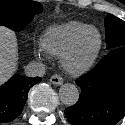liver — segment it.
Here are the masks:
<instances>
[{
	"mask_svg": "<svg viewBox=\"0 0 125 125\" xmlns=\"http://www.w3.org/2000/svg\"><path fill=\"white\" fill-rule=\"evenodd\" d=\"M15 33L0 26V85L7 81L16 70L18 60Z\"/></svg>",
	"mask_w": 125,
	"mask_h": 125,
	"instance_id": "1",
	"label": "liver"
}]
</instances>
